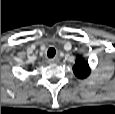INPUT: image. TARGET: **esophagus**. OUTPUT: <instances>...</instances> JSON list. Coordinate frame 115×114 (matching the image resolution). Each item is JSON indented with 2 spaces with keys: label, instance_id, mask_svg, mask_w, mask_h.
Segmentation results:
<instances>
[{
  "label": "esophagus",
  "instance_id": "esophagus-1",
  "mask_svg": "<svg viewBox=\"0 0 115 114\" xmlns=\"http://www.w3.org/2000/svg\"><path fill=\"white\" fill-rule=\"evenodd\" d=\"M59 61L58 58H52V59H48L49 63H57Z\"/></svg>",
  "mask_w": 115,
  "mask_h": 114
}]
</instances>
